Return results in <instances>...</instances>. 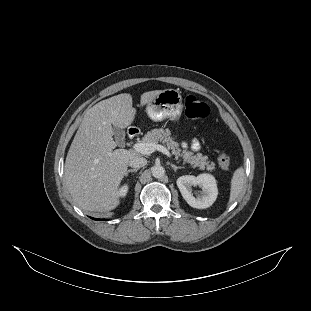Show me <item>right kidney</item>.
I'll use <instances>...</instances> for the list:
<instances>
[{
    "label": "right kidney",
    "mask_w": 311,
    "mask_h": 311,
    "mask_svg": "<svg viewBox=\"0 0 311 311\" xmlns=\"http://www.w3.org/2000/svg\"><path fill=\"white\" fill-rule=\"evenodd\" d=\"M128 192V185L124 184L117 192L118 197H125Z\"/></svg>",
    "instance_id": "1"
}]
</instances>
